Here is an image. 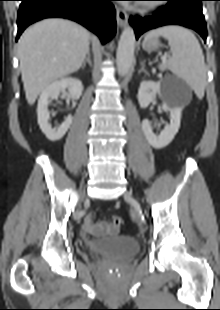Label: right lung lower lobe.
I'll use <instances>...</instances> for the list:
<instances>
[{
    "label": "right lung lower lobe",
    "mask_w": 220,
    "mask_h": 310,
    "mask_svg": "<svg viewBox=\"0 0 220 310\" xmlns=\"http://www.w3.org/2000/svg\"><path fill=\"white\" fill-rule=\"evenodd\" d=\"M112 0H21L17 38L30 24L44 18L74 20L94 32L101 41L113 37L116 29Z\"/></svg>",
    "instance_id": "obj_1"
}]
</instances>
